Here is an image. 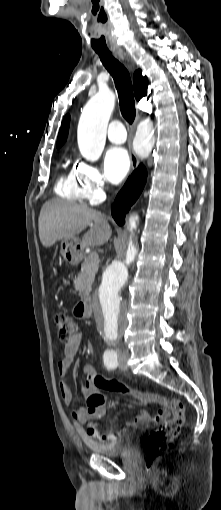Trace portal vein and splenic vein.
<instances>
[{
  "mask_svg": "<svg viewBox=\"0 0 221 510\" xmlns=\"http://www.w3.org/2000/svg\"><path fill=\"white\" fill-rule=\"evenodd\" d=\"M98 258H99L98 254L95 253V252H92V253L89 254V259H91L92 261L96 262V261H98Z\"/></svg>",
  "mask_w": 221,
  "mask_h": 510,
  "instance_id": "obj_1",
  "label": "portal vein and splenic vein"
}]
</instances>
